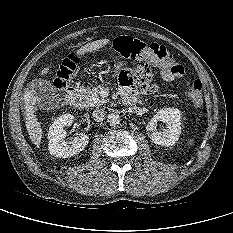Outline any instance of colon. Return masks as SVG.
<instances>
[{
	"instance_id": "colon-1",
	"label": "colon",
	"mask_w": 233,
	"mask_h": 233,
	"mask_svg": "<svg viewBox=\"0 0 233 233\" xmlns=\"http://www.w3.org/2000/svg\"><path fill=\"white\" fill-rule=\"evenodd\" d=\"M113 49L124 59L139 61L141 63H155L159 66L161 76L167 81L181 78L185 74V67L177 62L167 48L163 45L155 43H147L142 40L121 36L114 40ZM79 59L75 55H69L60 65L56 77L55 85L58 88H64L71 81ZM135 71L124 69L121 71ZM188 98L190 102L199 107L203 102V85L198 79L194 80L189 92Z\"/></svg>"
}]
</instances>
